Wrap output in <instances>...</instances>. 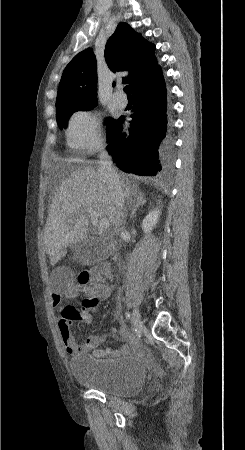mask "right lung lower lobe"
<instances>
[{
    "instance_id": "obj_1",
    "label": "right lung lower lobe",
    "mask_w": 245,
    "mask_h": 450,
    "mask_svg": "<svg viewBox=\"0 0 245 450\" xmlns=\"http://www.w3.org/2000/svg\"><path fill=\"white\" fill-rule=\"evenodd\" d=\"M134 102L129 135L122 133V117L110 135L107 149L117 166L144 176H161L173 165V145L166 107V86L158 67L131 91Z\"/></svg>"
}]
</instances>
